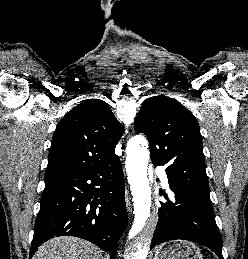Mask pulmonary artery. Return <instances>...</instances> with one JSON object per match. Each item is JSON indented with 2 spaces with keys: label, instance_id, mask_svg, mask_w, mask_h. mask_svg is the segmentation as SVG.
Instances as JSON below:
<instances>
[{
  "label": "pulmonary artery",
  "instance_id": "1",
  "mask_svg": "<svg viewBox=\"0 0 248 259\" xmlns=\"http://www.w3.org/2000/svg\"><path fill=\"white\" fill-rule=\"evenodd\" d=\"M161 180H162V185L165 188H168L169 187L168 178L164 172L161 173Z\"/></svg>",
  "mask_w": 248,
  "mask_h": 259
}]
</instances>
